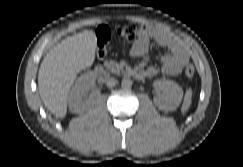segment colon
I'll list each match as a JSON object with an SVG mask.
<instances>
[{
	"label": "colon",
	"instance_id": "colon-1",
	"mask_svg": "<svg viewBox=\"0 0 243 167\" xmlns=\"http://www.w3.org/2000/svg\"><path fill=\"white\" fill-rule=\"evenodd\" d=\"M146 31V28L138 25H123L116 29V33L119 37L132 41ZM97 36V53L99 57H103L106 53V47L111 37V31L109 27L102 25L96 31ZM195 74V68L193 64L188 63L185 67V75L187 78H192Z\"/></svg>",
	"mask_w": 243,
	"mask_h": 167
}]
</instances>
